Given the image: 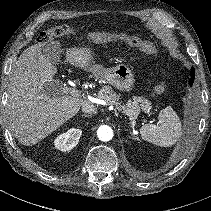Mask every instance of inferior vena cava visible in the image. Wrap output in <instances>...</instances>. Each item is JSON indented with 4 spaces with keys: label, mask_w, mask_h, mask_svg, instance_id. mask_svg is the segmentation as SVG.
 Masks as SVG:
<instances>
[{
    "label": "inferior vena cava",
    "mask_w": 211,
    "mask_h": 211,
    "mask_svg": "<svg viewBox=\"0 0 211 211\" xmlns=\"http://www.w3.org/2000/svg\"><path fill=\"white\" fill-rule=\"evenodd\" d=\"M82 111L88 114H95L97 113V108L94 104L89 102L82 106Z\"/></svg>",
    "instance_id": "602c4592"
}]
</instances>
